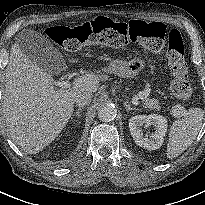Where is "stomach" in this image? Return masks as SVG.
<instances>
[{"label":"stomach","mask_w":205,"mask_h":205,"mask_svg":"<svg viewBox=\"0 0 205 205\" xmlns=\"http://www.w3.org/2000/svg\"><path fill=\"white\" fill-rule=\"evenodd\" d=\"M146 66V62L142 57H134L128 62H114L111 71L125 78H134Z\"/></svg>","instance_id":"1"}]
</instances>
